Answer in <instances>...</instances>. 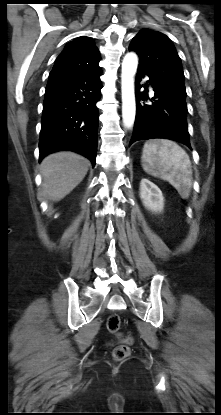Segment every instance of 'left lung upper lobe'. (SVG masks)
Here are the masks:
<instances>
[{
	"mask_svg": "<svg viewBox=\"0 0 221 415\" xmlns=\"http://www.w3.org/2000/svg\"><path fill=\"white\" fill-rule=\"evenodd\" d=\"M129 50L140 58L138 71L159 84L186 93L181 60L165 34L143 29L133 38Z\"/></svg>",
	"mask_w": 221,
	"mask_h": 415,
	"instance_id": "5c2ea615",
	"label": "left lung upper lobe"
}]
</instances>
